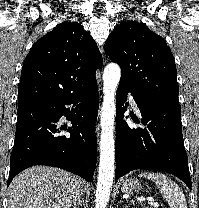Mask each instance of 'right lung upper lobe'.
<instances>
[{"label": "right lung upper lobe", "mask_w": 199, "mask_h": 208, "mask_svg": "<svg viewBox=\"0 0 199 208\" xmlns=\"http://www.w3.org/2000/svg\"><path fill=\"white\" fill-rule=\"evenodd\" d=\"M103 65L96 42L76 22L65 21L40 38L25 58L18 109L70 95L96 80Z\"/></svg>", "instance_id": "right-lung-upper-lobe-1"}]
</instances>
